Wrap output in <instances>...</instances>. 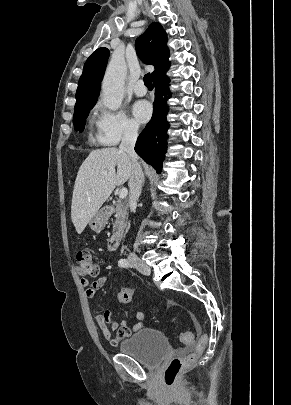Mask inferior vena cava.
<instances>
[{
	"instance_id": "1",
	"label": "inferior vena cava",
	"mask_w": 291,
	"mask_h": 405,
	"mask_svg": "<svg viewBox=\"0 0 291 405\" xmlns=\"http://www.w3.org/2000/svg\"><path fill=\"white\" fill-rule=\"evenodd\" d=\"M138 137L137 128L130 127L125 131L122 142L119 146V149L129 156L131 160V173L129 178V202L130 204H136L141 194L142 184L144 181V175L142 168L138 163V157L134 150L135 143ZM130 261H136L137 256L134 253H131L128 257Z\"/></svg>"
}]
</instances>
